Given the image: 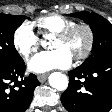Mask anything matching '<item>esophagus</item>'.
I'll return each mask as SVG.
<instances>
[{"label": "esophagus", "mask_w": 112, "mask_h": 112, "mask_svg": "<svg viewBox=\"0 0 112 112\" xmlns=\"http://www.w3.org/2000/svg\"><path fill=\"white\" fill-rule=\"evenodd\" d=\"M48 75L47 74H41L38 76V80L43 83L47 80Z\"/></svg>", "instance_id": "esophagus-1"}]
</instances>
